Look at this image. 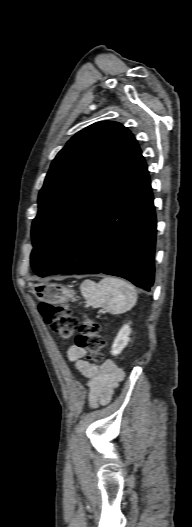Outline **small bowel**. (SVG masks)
<instances>
[{
    "label": "small bowel",
    "instance_id": "c3829d8e",
    "mask_svg": "<svg viewBox=\"0 0 192 527\" xmlns=\"http://www.w3.org/2000/svg\"><path fill=\"white\" fill-rule=\"evenodd\" d=\"M85 350L73 345L68 349V358L74 362L76 369L88 380V401L90 405L107 403L114 387L123 377V372L113 361L108 360L101 366L93 365L85 360Z\"/></svg>",
    "mask_w": 192,
    "mask_h": 527
}]
</instances>
